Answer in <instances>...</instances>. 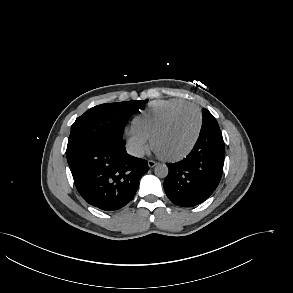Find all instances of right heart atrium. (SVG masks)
<instances>
[{"mask_svg":"<svg viewBox=\"0 0 293 293\" xmlns=\"http://www.w3.org/2000/svg\"><path fill=\"white\" fill-rule=\"evenodd\" d=\"M126 144L129 151L137 157L143 156L150 148L149 139L135 132L133 129L127 130L126 132Z\"/></svg>","mask_w":293,"mask_h":293,"instance_id":"obj_1","label":"right heart atrium"}]
</instances>
